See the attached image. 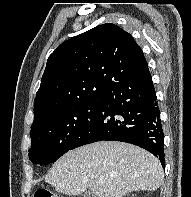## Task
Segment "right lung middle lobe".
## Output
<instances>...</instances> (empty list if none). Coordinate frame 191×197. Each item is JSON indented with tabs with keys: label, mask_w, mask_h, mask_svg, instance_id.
Listing matches in <instances>:
<instances>
[{
	"label": "right lung middle lobe",
	"mask_w": 191,
	"mask_h": 197,
	"mask_svg": "<svg viewBox=\"0 0 191 197\" xmlns=\"http://www.w3.org/2000/svg\"><path fill=\"white\" fill-rule=\"evenodd\" d=\"M97 109V101L75 105L31 127L30 161L39 165L55 162L71 149Z\"/></svg>",
	"instance_id": "obj_1"
}]
</instances>
